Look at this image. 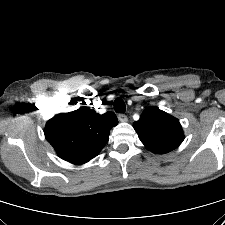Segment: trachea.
I'll return each instance as SVG.
<instances>
[{"label":"trachea","mask_w":225,"mask_h":225,"mask_svg":"<svg viewBox=\"0 0 225 225\" xmlns=\"http://www.w3.org/2000/svg\"><path fill=\"white\" fill-rule=\"evenodd\" d=\"M114 110H115L117 113H124V112H125L126 106H125L124 101H123L121 98H117V99L114 101Z\"/></svg>","instance_id":"3493384b"}]
</instances>
